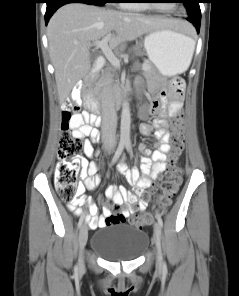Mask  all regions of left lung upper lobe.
<instances>
[{
    "label": "left lung upper lobe",
    "instance_id": "obj_1",
    "mask_svg": "<svg viewBox=\"0 0 239 296\" xmlns=\"http://www.w3.org/2000/svg\"><path fill=\"white\" fill-rule=\"evenodd\" d=\"M200 0H183L182 3L187 9V16L194 19H201V11L199 7Z\"/></svg>",
    "mask_w": 239,
    "mask_h": 296
}]
</instances>
